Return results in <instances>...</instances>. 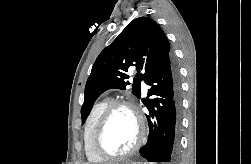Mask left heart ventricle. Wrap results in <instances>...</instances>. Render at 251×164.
<instances>
[{
  "mask_svg": "<svg viewBox=\"0 0 251 164\" xmlns=\"http://www.w3.org/2000/svg\"><path fill=\"white\" fill-rule=\"evenodd\" d=\"M138 127L127 108H118L111 115L102 135L101 145L111 154L128 151L136 142Z\"/></svg>",
  "mask_w": 251,
  "mask_h": 164,
  "instance_id": "obj_1",
  "label": "left heart ventricle"
}]
</instances>
